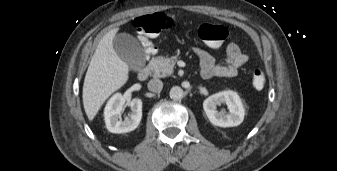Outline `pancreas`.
<instances>
[{
  "mask_svg": "<svg viewBox=\"0 0 337 171\" xmlns=\"http://www.w3.org/2000/svg\"><path fill=\"white\" fill-rule=\"evenodd\" d=\"M176 61H177L176 56L170 58L158 56L156 58L151 59L149 67L153 71L154 77H166L173 73V68Z\"/></svg>",
  "mask_w": 337,
  "mask_h": 171,
  "instance_id": "1",
  "label": "pancreas"
}]
</instances>
